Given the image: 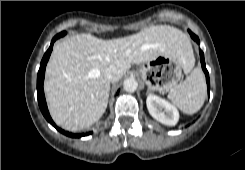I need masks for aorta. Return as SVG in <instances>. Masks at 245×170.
I'll return each instance as SVG.
<instances>
[{
	"label": "aorta",
	"instance_id": "aorta-1",
	"mask_svg": "<svg viewBox=\"0 0 245 170\" xmlns=\"http://www.w3.org/2000/svg\"><path fill=\"white\" fill-rule=\"evenodd\" d=\"M138 87V82L134 78H128L123 83V88L127 92H134Z\"/></svg>",
	"mask_w": 245,
	"mask_h": 170
}]
</instances>
